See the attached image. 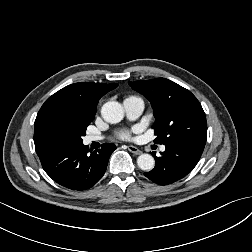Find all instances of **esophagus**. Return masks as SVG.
Segmentation results:
<instances>
[{
  "instance_id": "1",
  "label": "esophagus",
  "mask_w": 252,
  "mask_h": 252,
  "mask_svg": "<svg viewBox=\"0 0 252 252\" xmlns=\"http://www.w3.org/2000/svg\"><path fill=\"white\" fill-rule=\"evenodd\" d=\"M127 148L131 153H133L135 155H140L142 153V151L135 146L129 145V146H127Z\"/></svg>"
}]
</instances>
